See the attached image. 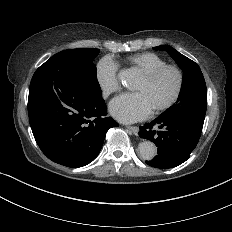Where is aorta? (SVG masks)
Instances as JSON below:
<instances>
[{
    "mask_svg": "<svg viewBox=\"0 0 232 232\" xmlns=\"http://www.w3.org/2000/svg\"><path fill=\"white\" fill-rule=\"evenodd\" d=\"M122 79L131 78L128 72L123 71L120 73ZM139 155L144 160H152L157 154V147L151 141H143L139 144Z\"/></svg>",
    "mask_w": 232,
    "mask_h": 232,
    "instance_id": "1",
    "label": "aorta"
}]
</instances>
